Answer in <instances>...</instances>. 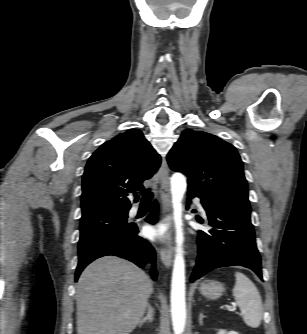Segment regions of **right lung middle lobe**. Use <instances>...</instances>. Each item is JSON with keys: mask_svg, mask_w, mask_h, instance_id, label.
<instances>
[{"mask_svg": "<svg viewBox=\"0 0 307 334\" xmlns=\"http://www.w3.org/2000/svg\"><path fill=\"white\" fill-rule=\"evenodd\" d=\"M128 212H98L80 219L78 251L108 237L121 236L135 225L127 223Z\"/></svg>", "mask_w": 307, "mask_h": 334, "instance_id": "dd1d6c3e", "label": "right lung middle lobe"}]
</instances>
